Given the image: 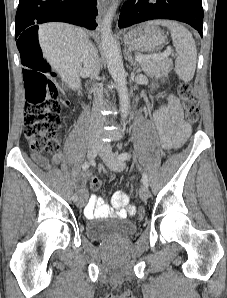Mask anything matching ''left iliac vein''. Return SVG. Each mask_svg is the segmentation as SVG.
<instances>
[{
    "mask_svg": "<svg viewBox=\"0 0 227 298\" xmlns=\"http://www.w3.org/2000/svg\"><path fill=\"white\" fill-rule=\"evenodd\" d=\"M99 155L111 170L122 171L125 168V163L119 159L118 155L114 153L109 145H103ZM140 198L146 201L149 198L150 191L145 184L141 185L139 190Z\"/></svg>",
    "mask_w": 227,
    "mask_h": 298,
    "instance_id": "left-iliac-vein-1",
    "label": "left iliac vein"
}]
</instances>
